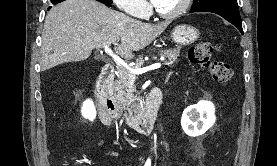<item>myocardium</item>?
Wrapping results in <instances>:
<instances>
[{
  "label": "myocardium",
  "instance_id": "1",
  "mask_svg": "<svg viewBox=\"0 0 277 166\" xmlns=\"http://www.w3.org/2000/svg\"><path fill=\"white\" fill-rule=\"evenodd\" d=\"M190 3H191V0H182V3L179 8L168 13L160 11L156 6H154L153 10L158 17L171 20V19L178 18L179 16L184 14L189 8Z\"/></svg>",
  "mask_w": 277,
  "mask_h": 166
}]
</instances>
